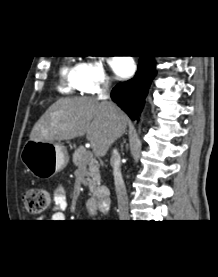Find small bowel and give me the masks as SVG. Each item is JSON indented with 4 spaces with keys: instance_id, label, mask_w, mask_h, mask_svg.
Returning a JSON list of instances; mask_svg holds the SVG:
<instances>
[{
    "instance_id": "c3829d8e",
    "label": "small bowel",
    "mask_w": 218,
    "mask_h": 277,
    "mask_svg": "<svg viewBox=\"0 0 218 277\" xmlns=\"http://www.w3.org/2000/svg\"><path fill=\"white\" fill-rule=\"evenodd\" d=\"M87 209L94 214L97 211L96 203L93 200H89L86 204ZM68 207V197L66 190L58 186L53 193V213L51 218L53 220H64V210Z\"/></svg>"
}]
</instances>
